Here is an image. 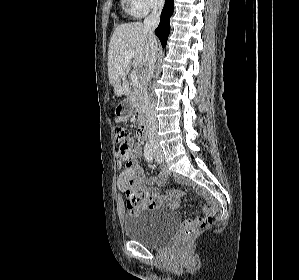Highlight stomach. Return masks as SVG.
I'll return each mask as SVG.
<instances>
[{"instance_id": "0dacf381", "label": "stomach", "mask_w": 299, "mask_h": 280, "mask_svg": "<svg viewBox=\"0 0 299 280\" xmlns=\"http://www.w3.org/2000/svg\"><path fill=\"white\" fill-rule=\"evenodd\" d=\"M132 114V108L129 104H122L116 110V122L126 121Z\"/></svg>"}]
</instances>
